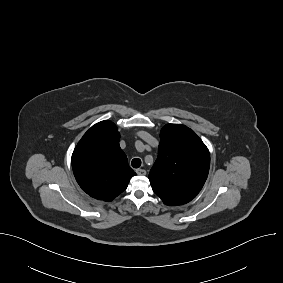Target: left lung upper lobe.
Listing matches in <instances>:
<instances>
[{
	"label": "left lung upper lobe",
	"instance_id": "left-lung-upper-lobe-1",
	"mask_svg": "<svg viewBox=\"0 0 283 283\" xmlns=\"http://www.w3.org/2000/svg\"><path fill=\"white\" fill-rule=\"evenodd\" d=\"M209 168V151L194 131L180 124L162 128L158 157L149 180L154 193L166 205H182L195 198Z\"/></svg>",
	"mask_w": 283,
	"mask_h": 283
}]
</instances>
